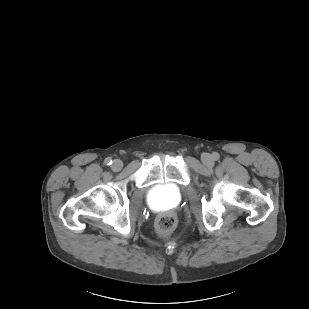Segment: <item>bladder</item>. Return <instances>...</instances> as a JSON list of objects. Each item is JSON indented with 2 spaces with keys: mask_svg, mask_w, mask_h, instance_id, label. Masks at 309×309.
I'll return each instance as SVG.
<instances>
[{
  "mask_svg": "<svg viewBox=\"0 0 309 309\" xmlns=\"http://www.w3.org/2000/svg\"><path fill=\"white\" fill-rule=\"evenodd\" d=\"M182 199L178 187L171 183L160 184L153 187L148 193V202L152 208L176 206Z\"/></svg>",
  "mask_w": 309,
  "mask_h": 309,
  "instance_id": "bladder-1",
  "label": "bladder"
}]
</instances>
